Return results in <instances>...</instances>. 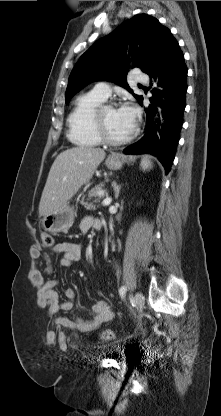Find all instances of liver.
Wrapping results in <instances>:
<instances>
[{"label": "liver", "mask_w": 221, "mask_h": 416, "mask_svg": "<svg viewBox=\"0 0 221 416\" xmlns=\"http://www.w3.org/2000/svg\"><path fill=\"white\" fill-rule=\"evenodd\" d=\"M106 153L100 148L74 147L54 160L39 203V215L46 216L67 205L88 182Z\"/></svg>", "instance_id": "6515ba94"}]
</instances>
